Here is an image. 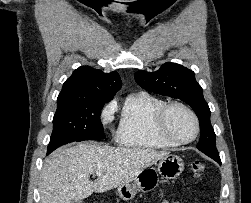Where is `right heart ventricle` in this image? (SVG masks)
Here are the masks:
<instances>
[{
    "mask_svg": "<svg viewBox=\"0 0 251 203\" xmlns=\"http://www.w3.org/2000/svg\"><path fill=\"white\" fill-rule=\"evenodd\" d=\"M166 102L146 93L133 94L124 102L116 142L124 147L154 150L174 145L163 141L153 130L155 113Z\"/></svg>",
    "mask_w": 251,
    "mask_h": 203,
    "instance_id": "1",
    "label": "right heart ventricle"
}]
</instances>
